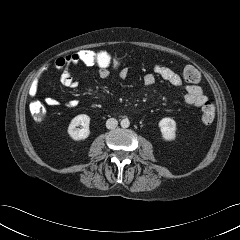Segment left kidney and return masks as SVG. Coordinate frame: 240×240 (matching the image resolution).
<instances>
[{
    "label": "left kidney",
    "instance_id": "obj_1",
    "mask_svg": "<svg viewBox=\"0 0 240 240\" xmlns=\"http://www.w3.org/2000/svg\"><path fill=\"white\" fill-rule=\"evenodd\" d=\"M159 128L164 140L172 141L176 138V122L173 119L169 117L161 119Z\"/></svg>",
    "mask_w": 240,
    "mask_h": 240
}]
</instances>
